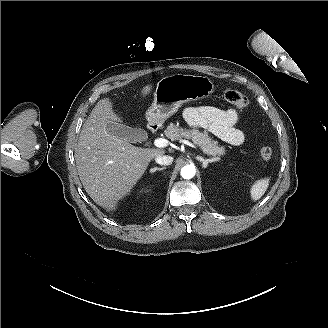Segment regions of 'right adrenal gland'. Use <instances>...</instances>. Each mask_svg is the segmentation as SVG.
<instances>
[{"label": "right adrenal gland", "instance_id": "obj_1", "mask_svg": "<svg viewBox=\"0 0 328 328\" xmlns=\"http://www.w3.org/2000/svg\"><path fill=\"white\" fill-rule=\"evenodd\" d=\"M166 169V167H163V168H155L154 170H153V172H156V171H163V170H165Z\"/></svg>", "mask_w": 328, "mask_h": 328}]
</instances>
